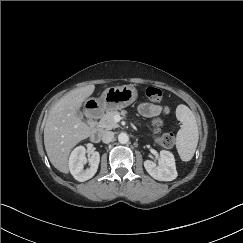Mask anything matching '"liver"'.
Listing matches in <instances>:
<instances>
[{"label": "liver", "mask_w": 243, "mask_h": 243, "mask_svg": "<svg viewBox=\"0 0 243 243\" xmlns=\"http://www.w3.org/2000/svg\"><path fill=\"white\" fill-rule=\"evenodd\" d=\"M95 90L94 85L66 93L50 110L44 128V145L51 164L67 174L71 149L93 133L92 128L77 116L83 102Z\"/></svg>", "instance_id": "liver-1"}]
</instances>
